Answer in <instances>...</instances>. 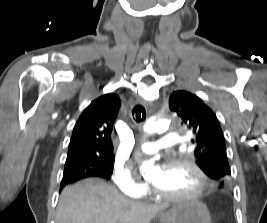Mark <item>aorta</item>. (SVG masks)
Masks as SVG:
<instances>
[{"label": "aorta", "instance_id": "762f6f07", "mask_svg": "<svg viewBox=\"0 0 267 223\" xmlns=\"http://www.w3.org/2000/svg\"><path fill=\"white\" fill-rule=\"evenodd\" d=\"M170 122L165 119H150L144 125V131L148 134L155 132L166 131L169 128ZM141 173L145 175L151 174L155 171V166L152 161H145L140 168Z\"/></svg>", "mask_w": 267, "mask_h": 223}]
</instances>
